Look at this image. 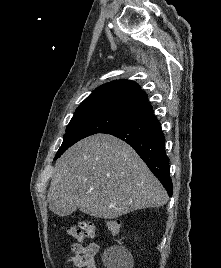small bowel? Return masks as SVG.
<instances>
[{
    "label": "small bowel",
    "mask_w": 221,
    "mask_h": 268,
    "mask_svg": "<svg viewBox=\"0 0 221 268\" xmlns=\"http://www.w3.org/2000/svg\"><path fill=\"white\" fill-rule=\"evenodd\" d=\"M99 251V245L91 242L87 245L76 243L72 245V254L68 256L66 262L78 268H96L94 257Z\"/></svg>",
    "instance_id": "small-bowel-1"
}]
</instances>
